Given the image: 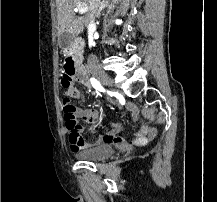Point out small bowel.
<instances>
[{"label":"small bowel","mask_w":217,"mask_h":202,"mask_svg":"<svg viewBox=\"0 0 217 202\" xmlns=\"http://www.w3.org/2000/svg\"><path fill=\"white\" fill-rule=\"evenodd\" d=\"M59 90H74L71 95V98L73 99H80L82 96L81 91L76 88V85H59ZM127 108L132 117L136 119L138 117L136 106L134 104H128ZM74 114L77 119L92 125L98 123L102 117L100 110L97 107H76ZM120 130L121 126L119 124H113L110 132L101 135L98 139L94 140L93 143L86 144V142H70V147L91 148L101 144L113 143L117 144L121 149H129L134 145L144 146L156 136V128L148 121H144L142 128L134 134L132 140L120 138L118 135ZM69 141H84L82 131H70Z\"/></svg>","instance_id":"1"}]
</instances>
